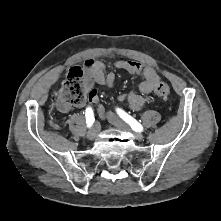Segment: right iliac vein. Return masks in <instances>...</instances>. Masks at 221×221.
I'll return each instance as SVG.
<instances>
[{
  "label": "right iliac vein",
  "instance_id": "1",
  "mask_svg": "<svg viewBox=\"0 0 221 221\" xmlns=\"http://www.w3.org/2000/svg\"><path fill=\"white\" fill-rule=\"evenodd\" d=\"M100 132V125L99 123H95L94 126L91 128V130L88 132L87 138L89 140H93L97 137V135Z\"/></svg>",
  "mask_w": 221,
  "mask_h": 221
}]
</instances>
